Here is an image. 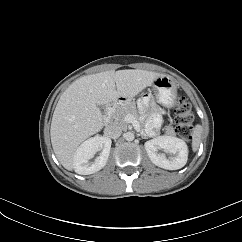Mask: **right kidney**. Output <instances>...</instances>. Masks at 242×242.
Instances as JSON below:
<instances>
[{"mask_svg": "<svg viewBox=\"0 0 242 242\" xmlns=\"http://www.w3.org/2000/svg\"><path fill=\"white\" fill-rule=\"evenodd\" d=\"M111 140L104 136H95L84 141L74 154L75 172L81 175H89L101 170L109 157ZM97 151L100 155L94 162H90Z\"/></svg>", "mask_w": 242, "mask_h": 242, "instance_id": "1", "label": "right kidney"}]
</instances>
